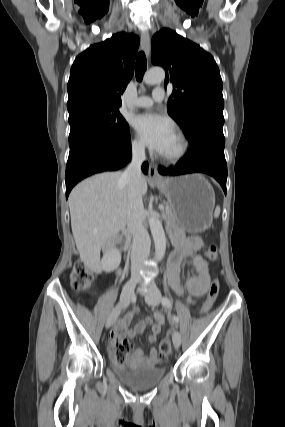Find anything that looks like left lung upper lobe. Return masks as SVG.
<instances>
[{
  "mask_svg": "<svg viewBox=\"0 0 285 427\" xmlns=\"http://www.w3.org/2000/svg\"><path fill=\"white\" fill-rule=\"evenodd\" d=\"M151 61L172 84L168 113L189 142L204 132L223 134L222 79L214 58L199 45L164 28L152 38Z\"/></svg>",
  "mask_w": 285,
  "mask_h": 427,
  "instance_id": "1",
  "label": "left lung upper lobe"
}]
</instances>
